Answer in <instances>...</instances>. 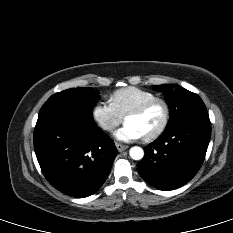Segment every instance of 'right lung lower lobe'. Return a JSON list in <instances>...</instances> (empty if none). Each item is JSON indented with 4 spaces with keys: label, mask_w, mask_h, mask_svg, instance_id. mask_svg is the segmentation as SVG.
<instances>
[{
    "label": "right lung lower lobe",
    "mask_w": 233,
    "mask_h": 233,
    "mask_svg": "<svg viewBox=\"0 0 233 233\" xmlns=\"http://www.w3.org/2000/svg\"><path fill=\"white\" fill-rule=\"evenodd\" d=\"M34 149L47 181L76 198L103 185L117 155L114 141L95 122L69 115L38 119Z\"/></svg>",
    "instance_id": "98d812e1"
}]
</instances>
